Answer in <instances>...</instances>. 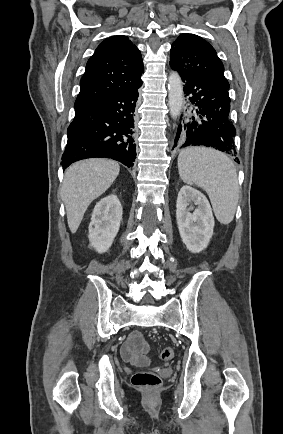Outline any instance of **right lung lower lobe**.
I'll return each mask as SVG.
<instances>
[{
	"label": "right lung lower lobe",
	"instance_id": "1",
	"mask_svg": "<svg viewBox=\"0 0 283 434\" xmlns=\"http://www.w3.org/2000/svg\"><path fill=\"white\" fill-rule=\"evenodd\" d=\"M142 81L127 91L75 107L69 125L62 166L94 157L117 160L131 167L136 158L134 112Z\"/></svg>",
	"mask_w": 283,
	"mask_h": 434
}]
</instances>
